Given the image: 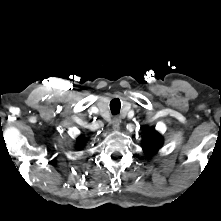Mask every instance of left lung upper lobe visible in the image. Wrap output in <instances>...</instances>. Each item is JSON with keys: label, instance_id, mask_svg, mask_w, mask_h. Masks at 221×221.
<instances>
[{"label": "left lung upper lobe", "instance_id": "obj_1", "mask_svg": "<svg viewBox=\"0 0 221 221\" xmlns=\"http://www.w3.org/2000/svg\"><path fill=\"white\" fill-rule=\"evenodd\" d=\"M163 138L155 128H147L143 137V150L147 157L156 153L162 146Z\"/></svg>", "mask_w": 221, "mask_h": 221}]
</instances>
